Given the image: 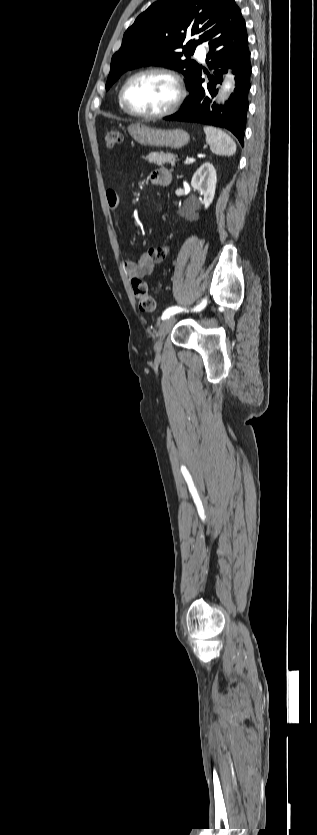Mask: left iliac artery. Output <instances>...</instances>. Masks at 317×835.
<instances>
[{"label": "left iliac artery", "instance_id": "1", "mask_svg": "<svg viewBox=\"0 0 317 835\" xmlns=\"http://www.w3.org/2000/svg\"><path fill=\"white\" fill-rule=\"evenodd\" d=\"M205 305H206V300L204 299V300H203V301H202L199 305H197V306H196L193 310H194V311H200L201 309H203V308H204V306H205ZM182 310H184V309H182V308H180V307H178V306H172V307H169V308H167V309L163 312V314H162V319L169 318L170 316H172V315H174L175 313L180 312V311H182Z\"/></svg>", "mask_w": 317, "mask_h": 835}]
</instances>
